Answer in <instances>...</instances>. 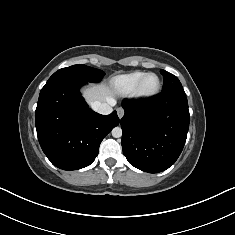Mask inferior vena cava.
I'll use <instances>...</instances> for the list:
<instances>
[{
    "label": "inferior vena cava",
    "mask_w": 235,
    "mask_h": 235,
    "mask_svg": "<svg viewBox=\"0 0 235 235\" xmlns=\"http://www.w3.org/2000/svg\"><path fill=\"white\" fill-rule=\"evenodd\" d=\"M114 104H115V102H113V101L110 103H106V102L101 103L99 101H95L91 104V108L100 114L108 115L113 111L112 105H114Z\"/></svg>",
    "instance_id": "1"
}]
</instances>
